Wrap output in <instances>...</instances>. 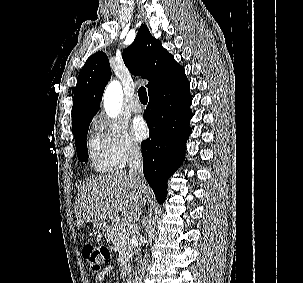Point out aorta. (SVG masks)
I'll return each mask as SVG.
<instances>
[{"label":"aorta","mask_w":303,"mask_h":283,"mask_svg":"<svg viewBox=\"0 0 303 283\" xmlns=\"http://www.w3.org/2000/svg\"><path fill=\"white\" fill-rule=\"evenodd\" d=\"M123 102V91L121 84L114 80L111 81L105 89L103 96V105L106 114L109 117H117L121 111Z\"/></svg>","instance_id":"aorta-1"}]
</instances>
